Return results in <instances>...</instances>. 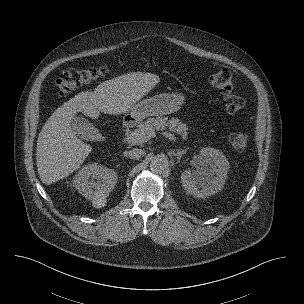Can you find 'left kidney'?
Here are the masks:
<instances>
[{"instance_id":"5707ae66","label":"left kidney","mask_w":304,"mask_h":304,"mask_svg":"<svg viewBox=\"0 0 304 304\" xmlns=\"http://www.w3.org/2000/svg\"><path fill=\"white\" fill-rule=\"evenodd\" d=\"M196 170H186L181 175L184 189L197 198H206L219 192L230 168L223 152L211 148H202L193 160Z\"/></svg>"}]
</instances>
